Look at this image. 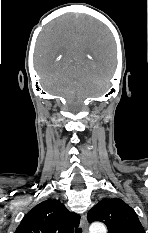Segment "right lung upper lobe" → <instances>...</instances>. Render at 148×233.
I'll use <instances>...</instances> for the list:
<instances>
[{"label":"right lung upper lobe","mask_w":148,"mask_h":233,"mask_svg":"<svg viewBox=\"0 0 148 233\" xmlns=\"http://www.w3.org/2000/svg\"><path fill=\"white\" fill-rule=\"evenodd\" d=\"M79 221L59 200L48 199L24 216L15 233H74Z\"/></svg>","instance_id":"obj_1"}]
</instances>
